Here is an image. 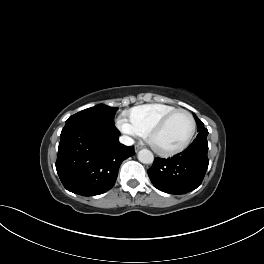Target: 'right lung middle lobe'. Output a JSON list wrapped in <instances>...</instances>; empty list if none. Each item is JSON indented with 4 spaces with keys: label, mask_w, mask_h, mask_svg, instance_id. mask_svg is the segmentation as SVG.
<instances>
[{
    "label": "right lung middle lobe",
    "mask_w": 264,
    "mask_h": 264,
    "mask_svg": "<svg viewBox=\"0 0 264 264\" xmlns=\"http://www.w3.org/2000/svg\"><path fill=\"white\" fill-rule=\"evenodd\" d=\"M117 109L118 108L99 104L70 116L66 120V124L87 123L98 126L114 127V114Z\"/></svg>",
    "instance_id": "obj_1"
}]
</instances>
